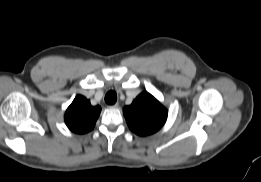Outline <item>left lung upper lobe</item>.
Listing matches in <instances>:
<instances>
[{"label": "left lung upper lobe", "instance_id": "obj_1", "mask_svg": "<svg viewBox=\"0 0 261 182\" xmlns=\"http://www.w3.org/2000/svg\"><path fill=\"white\" fill-rule=\"evenodd\" d=\"M123 114L134 133L147 136L164 125L168 112L151 94L142 92L131 105L124 107Z\"/></svg>", "mask_w": 261, "mask_h": 182}]
</instances>
